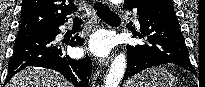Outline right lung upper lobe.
Masks as SVG:
<instances>
[{
    "instance_id": "1",
    "label": "right lung upper lobe",
    "mask_w": 205,
    "mask_h": 87,
    "mask_svg": "<svg viewBox=\"0 0 205 87\" xmlns=\"http://www.w3.org/2000/svg\"><path fill=\"white\" fill-rule=\"evenodd\" d=\"M74 10L73 0H23L18 33L63 24Z\"/></svg>"
}]
</instances>
